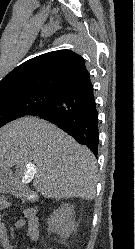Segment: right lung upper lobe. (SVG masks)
<instances>
[{
    "instance_id": "1",
    "label": "right lung upper lobe",
    "mask_w": 135,
    "mask_h": 249,
    "mask_svg": "<svg viewBox=\"0 0 135 249\" xmlns=\"http://www.w3.org/2000/svg\"><path fill=\"white\" fill-rule=\"evenodd\" d=\"M91 83L85 60L70 50L34 57L13 69L0 81V95L30 91L66 90Z\"/></svg>"
}]
</instances>
